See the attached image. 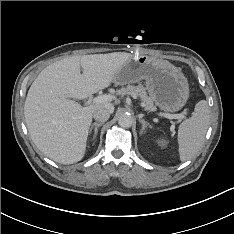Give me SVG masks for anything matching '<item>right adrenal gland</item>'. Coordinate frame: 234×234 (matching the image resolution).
I'll use <instances>...</instances> for the list:
<instances>
[{"label":"right adrenal gland","mask_w":234,"mask_h":234,"mask_svg":"<svg viewBox=\"0 0 234 234\" xmlns=\"http://www.w3.org/2000/svg\"><path fill=\"white\" fill-rule=\"evenodd\" d=\"M102 124H103L102 122H100V123L95 122V123H93V124L91 125V127H90V129H89V133L91 134L92 129L94 128V138H96L97 133H98V128H99L100 126H102Z\"/></svg>","instance_id":"1"}]
</instances>
